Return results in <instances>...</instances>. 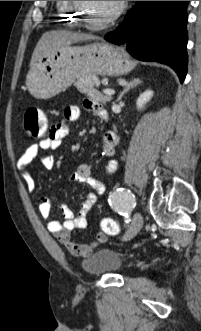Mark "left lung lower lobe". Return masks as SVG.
<instances>
[{
    "mask_svg": "<svg viewBox=\"0 0 201 331\" xmlns=\"http://www.w3.org/2000/svg\"><path fill=\"white\" fill-rule=\"evenodd\" d=\"M189 1H136L119 28L105 35L125 44L136 59L169 65L181 83L187 72V5Z\"/></svg>",
    "mask_w": 201,
    "mask_h": 331,
    "instance_id": "1",
    "label": "left lung lower lobe"
}]
</instances>
